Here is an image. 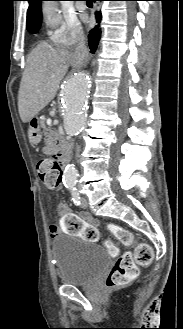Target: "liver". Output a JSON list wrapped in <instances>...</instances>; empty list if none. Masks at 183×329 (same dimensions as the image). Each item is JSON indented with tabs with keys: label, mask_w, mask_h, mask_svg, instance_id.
<instances>
[{
	"label": "liver",
	"mask_w": 183,
	"mask_h": 329,
	"mask_svg": "<svg viewBox=\"0 0 183 329\" xmlns=\"http://www.w3.org/2000/svg\"><path fill=\"white\" fill-rule=\"evenodd\" d=\"M68 63L79 65L75 52H57L46 42L30 53L18 94L22 122L31 121L55 97Z\"/></svg>",
	"instance_id": "liver-1"
}]
</instances>
